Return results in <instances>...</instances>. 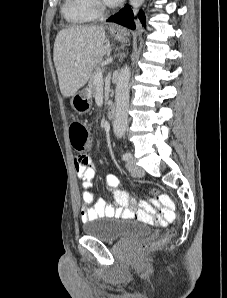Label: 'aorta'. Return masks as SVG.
I'll use <instances>...</instances> for the list:
<instances>
[{"instance_id": "762f6f07", "label": "aorta", "mask_w": 227, "mask_h": 298, "mask_svg": "<svg viewBox=\"0 0 227 298\" xmlns=\"http://www.w3.org/2000/svg\"><path fill=\"white\" fill-rule=\"evenodd\" d=\"M144 0H130L133 8H138L143 4ZM131 71L128 65H125L119 72L116 83V112L113 121L114 134L121 138L126 131L128 109H129V80Z\"/></svg>"}]
</instances>
